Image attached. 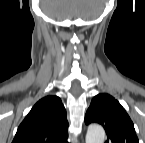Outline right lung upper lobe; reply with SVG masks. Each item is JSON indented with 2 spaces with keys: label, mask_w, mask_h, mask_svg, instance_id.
Segmentation results:
<instances>
[{
  "label": "right lung upper lobe",
  "mask_w": 145,
  "mask_h": 143,
  "mask_svg": "<svg viewBox=\"0 0 145 143\" xmlns=\"http://www.w3.org/2000/svg\"><path fill=\"white\" fill-rule=\"evenodd\" d=\"M68 121L57 96L39 100L19 125L13 143H66Z\"/></svg>",
  "instance_id": "right-lung-upper-lobe-1"
}]
</instances>
